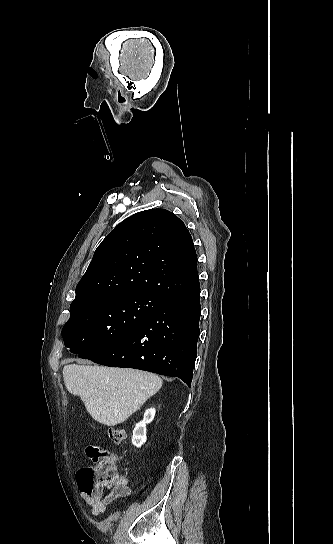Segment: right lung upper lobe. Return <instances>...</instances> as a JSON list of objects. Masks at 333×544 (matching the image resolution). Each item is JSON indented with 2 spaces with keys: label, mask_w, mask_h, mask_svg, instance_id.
I'll list each match as a JSON object with an SVG mask.
<instances>
[{
  "label": "right lung upper lobe",
  "mask_w": 333,
  "mask_h": 544,
  "mask_svg": "<svg viewBox=\"0 0 333 544\" xmlns=\"http://www.w3.org/2000/svg\"><path fill=\"white\" fill-rule=\"evenodd\" d=\"M199 284L185 224L165 209L125 219L97 247L72 303L103 295L147 293L163 299Z\"/></svg>",
  "instance_id": "cb5924a9"
}]
</instances>
